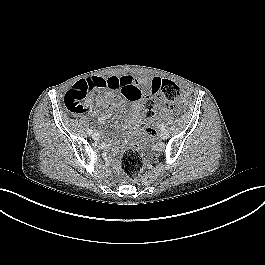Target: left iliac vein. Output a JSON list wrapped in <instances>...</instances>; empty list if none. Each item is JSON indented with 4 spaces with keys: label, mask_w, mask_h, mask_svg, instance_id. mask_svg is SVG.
I'll return each instance as SVG.
<instances>
[{
    "label": "left iliac vein",
    "mask_w": 265,
    "mask_h": 265,
    "mask_svg": "<svg viewBox=\"0 0 265 265\" xmlns=\"http://www.w3.org/2000/svg\"><path fill=\"white\" fill-rule=\"evenodd\" d=\"M168 136H169V132L167 131V130H162L161 132H160V137L162 138V139H166V138H168Z\"/></svg>",
    "instance_id": "4c4485c4"
}]
</instances>
